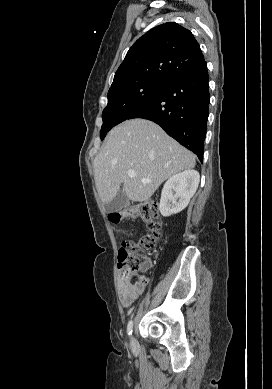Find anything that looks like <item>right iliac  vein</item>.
<instances>
[{"instance_id": "63e3f726", "label": "right iliac vein", "mask_w": 272, "mask_h": 389, "mask_svg": "<svg viewBox=\"0 0 272 389\" xmlns=\"http://www.w3.org/2000/svg\"><path fill=\"white\" fill-rule=\"evenodd\" d=\"M130 346L132 349L136 348V340L134 339V337H132L130 340Z\"/></svg>"}]
</instances>
